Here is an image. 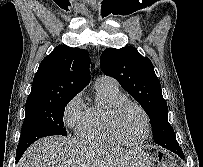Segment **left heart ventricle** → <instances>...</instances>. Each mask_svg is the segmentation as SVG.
Returning <instances> with one entry per match:
<instances>
[{
    "label": "left heart ventricle",
    "mask_w": 203,
    "mask_h": 167,
    "mask_svg": "<svg viewBox=\"0 0 203 167\" xmlns=\"http://www.w3.org/2000/svg\"><path fill=\"white\" fill-rule=\"evenodd\" d=\"M117 129L126 140H139L143 136L145 129L141 112L131 105L124 107L117 118Z\"/></svg>",
    "instance_id": "b2bd125f"
}]
</instances>
